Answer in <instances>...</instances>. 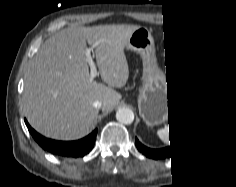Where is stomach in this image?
Returning a JSON list of instances; mask_svg holds the SVG:
<instances>
[{
  "instance_id": "obj_1",
  "label": "stomach",
  "mask_w": 236,
  "mask_h": 187,
  "mask_svg": "<svg viewBox=\"0 0 236 187\" xmlns=\"http://www.w3.org/2000/svg\"><path fill=\"white\" fill-rule=\"evenodd\" d=\"M127 48L140 54L143 62L141 86L137 98L139 114L148 127L168 121L169 100L166 71L159 64L150 30L140 27L127 42Z\"/></svg>"
}]
</instances>
